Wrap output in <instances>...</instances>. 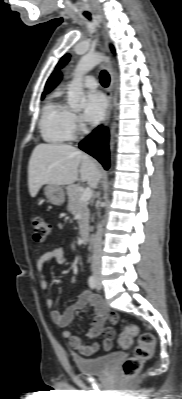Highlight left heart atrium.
Wrapping results in <instances>:
<instances>
[{
	"instance_id": "obj_1",
	"label": "left heart atrium",
	"mask_w": 182,
	"mask_h": 399,
	"mask_svg": "<svg viewBox=\"0 0 182 399\" xmlns=\"http://www.w3.org/2000/svg\"><path fill=\"white\" fill-rule=\"evenodd\" d=\"M106 105V99L102 93L97 91L88 93L84 105V120L91 123L100 121L105 114Z\"/></svg>"
}]
</instances>
